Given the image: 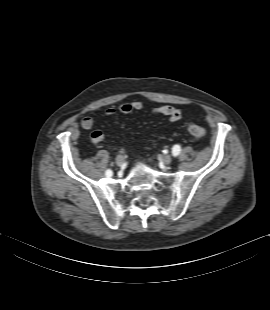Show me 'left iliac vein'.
<instances>
[{"label": "left iliac vein", "instance_id": "obj_1", "mask_svg": "<svg viewBox=\"0 0 270 310\" xmlns=\"http://www.w3.org/2000/svg\"><path fill=\"white\" fill-rule=\"evenodd\" d=\"M164 164L169 165L172 162V158L170 155H166L163 159Z\"/></svg>", "mask_w": 270, "mask_h": 310}]
</instances>
